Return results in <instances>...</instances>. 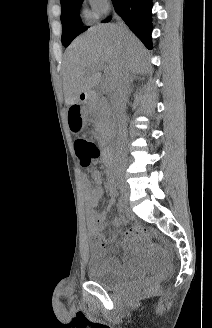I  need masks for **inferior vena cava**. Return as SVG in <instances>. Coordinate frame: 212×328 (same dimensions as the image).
Returning <instances> with one entry per match:
<instances>
[{
    "label": "inferior vena cava",
    "instance_id": "602c4592",
    "mask_svg": "<svg viewBox=\"0 0 212 328\" xmlns=\"http://www.w3.org/2000/svg\"><path fill=\"white\" fill-rule=\"evenodd\" d=\"M115 18L118 20V28L119 30H123L125 26L122 22H120V18L115 15ZM128 88H129V81L127 73H121L117 79L115 86L112 90V95L110 99V109L114 119V122L117 126V143H116V158L117 167H124V155L122 149L127 140V127L125 122V108L127 102V95H128ZM122 175L121 169H116L114 177L119 179Z\"/></svg>",
    "mask_w": 212,
    "mask_h": 328
}]
</instances>
